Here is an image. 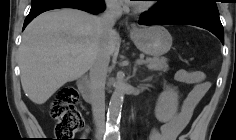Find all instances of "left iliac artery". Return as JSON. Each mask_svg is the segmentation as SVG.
<instances>
[{
	"label": "left iliac artery",
	"mask_w": 236,
	"mask_h": 140,
	"mask_svg": "<svg viewBox=\"0 0 236 140\" xmlns=\"http://www.w3.org/2000/svg\"><path fill=\"white\" fill-rule=\"evenodd\" d=\"M115 140H120V137H116V138H114Z\"/></svg>",
	"instance_id": "44dca946"
}]
</instances>
